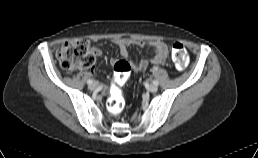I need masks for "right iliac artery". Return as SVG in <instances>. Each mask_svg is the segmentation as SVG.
<instances>
[{
    "instance_id": "82829eb1",
    "label": "right iliac artery",
    "mask_w": 258,
    "mask_h": 158,
    "mask_svg": "<svg viewBox=\"0 0 258 158\" xmlns=\"http://www.w3.org/2000/svg\"><path fill=\"white\" fill-rule=\"evenodd\" d=\"M87 83L90 85V84L93 83V80L89 79V80L87 81Z\"/></svg>"
}]
</instances>
